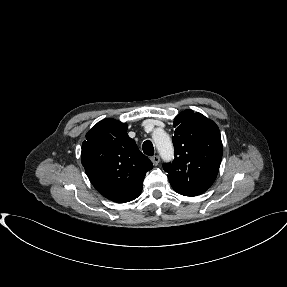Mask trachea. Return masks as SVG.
<instances>
[{
	"mask_svg": "<svg viewBox=\"0 0 287 287\" xmlns=\"http://www.w3.org/2000/svg\"><path fill=\"white\" fill-rule=\"evenodd\" d=\"M143 152L148 155L152 156L154 154V147L151 141L147 140L142 145Z\"/></svg>",
	"mask_w": 287,
	"mask_h": 287,
	"instance_id": "obj_1",
	"label": "trachea"
}]
</instances>
